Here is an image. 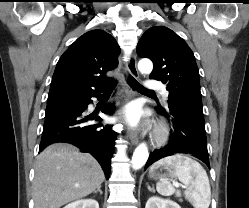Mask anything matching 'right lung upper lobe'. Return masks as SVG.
<instances>
[{
    "mask_svg": "<svg viewBox=\"0 0 249 208\" xmlns=\"http://www.w3.org/2000/svg\"><path fill=\"white\" fill-rule=\"evenodd\" d=\"M120 48L103 30L79 37L60 57L51 81L47 104L92 96L111 81L106 72L118 65Z\"/></svg>",
    "mask_w": 249,
    "mask_h": 208,
    "instance_id": "right-lung-upper-lobe-1",
    "label": "right lung upper lobe"
}]
</instances>
